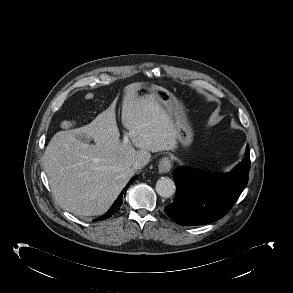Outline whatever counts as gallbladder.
I'll list each match as a JSON object with an SVG mask.
<instances>
[{"instance_id": "1", "label": "gallbladder", "mask_w": 293, "mask_h": 293, "mask_svg": "<svg viewBox=\"0 0 293 293\" xmlns=\"http://www.w3.org/2000/svg\"><path fill=\"white\" fill-rule=\"evenodd\" d=\"M77 139L82 141V142H85V143L90 142V139L88 137H86V136H83V135H78Z\"/></svg>"}]
</instances>
